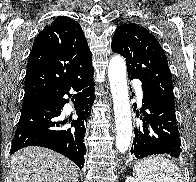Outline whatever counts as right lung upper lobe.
Masks as SVG:
<instances>
[{
    "label": "right lung upper lobe",
    "instance_id": "1",
    "mask_svg": "<svg viewBox=\"0 0 196 182\" xmlns=\"http://www.w3.org/2000/svg\"><path fill=\"white\" fill-rule=\"evenodd\" d=\"M92 53L81 26L60 16L34 40L25 76L22 106H32L91 63Z\"/></svg>",
    "mask_w": 196,
    "mask_h": 182
}]
</instances>
